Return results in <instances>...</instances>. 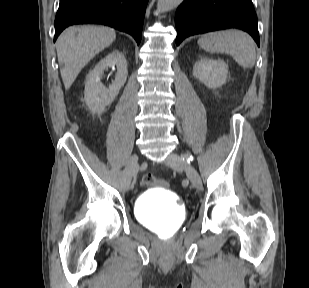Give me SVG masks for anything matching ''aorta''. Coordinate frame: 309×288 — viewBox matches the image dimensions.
Instances as JSON below:
<instances>
[{
  "label": "aorta",
  "mask_w": 309,
  "mask_h": 288,
  "mask_svg": "<svg viewBox=\"0 0 309 288\" xmlns=\"http://www.w3.org/2000/svg\"><path fill=\"white\" fill-rule=\"evenodd\" d=\"M183 0H158L157 8L159 11L168 12L179 6Z\"/></svg>",
  "instance_id": "762f6f07"
}]
</instances>
